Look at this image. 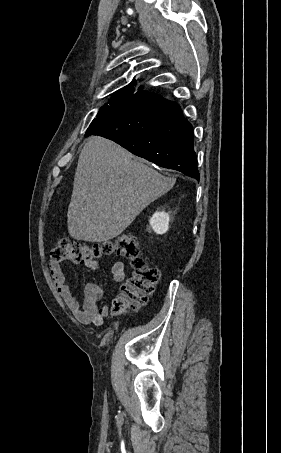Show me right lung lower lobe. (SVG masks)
<instances>
[{"label": "right lung lower lobe", "instance_id": "98d812e1", "mask_svg": "<svg viewBox=\"0 0 281 453\" xmlns=\"http://www.w3.org/2000/svg\"><path fill=\"white\" fill-rule=\"evenodd\" d=\"M90 135L111 139L158 166L200 179L192 125L177 103L158 94L148 92L102 107L86 131L85 136Z\"/></svg>", "mask_w": 281, "mask_h": 453}]
</instances>
